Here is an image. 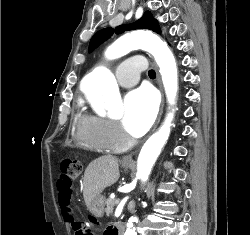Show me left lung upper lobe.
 Listing matches in <instances>:
<instances>
[{"label":"left lung upper lobe","mask_w":250,"mask_h":235,"mask_svg":"<svg viewBox=\"0 0 250 235\" xmlns=\"http://www.w3.org/2000/svg\"><path fill=\"white\" fill-rule=\"evenodd\" d=\"M134 29H149L155 31L158 34L161 33L157 20L152 17V14L149 11L145 12L144 15L133 24L118 26L115 29V32L117 34H120L126 30ZM113 32L114 30L112 28H105L98 31L90 41L89 50L92 51L101 43L109 39L112 36Z\"/></svg>","instance_id":"obj_1"}]
</instances>
